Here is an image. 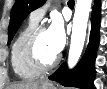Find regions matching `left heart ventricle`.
<instances>
[{"mask_svg": "<svg viewBox=\"0 0 107 89\" xmlns=\"http://www.w3.org/2000/svg\"><path fill=\"white\" fill-rule=\"evenodd\" d=\"M37 52L39 58L44 63H51L58 55L51 44L48 31H45L40 35L37 43Z\"/></svg>", "mask_w": 107, "mask_h": 89, "instance_id": "obj_1", "label": "left heart ventricle"}]
</instances>
